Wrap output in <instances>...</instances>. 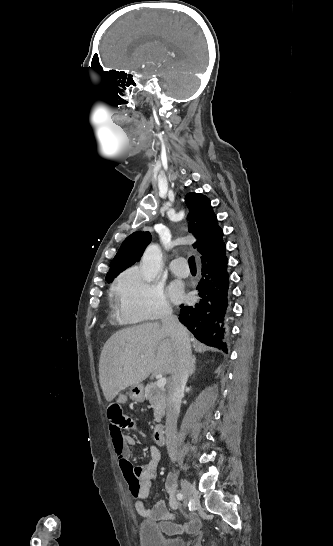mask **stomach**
Returning <instances> with one entry per match:
<instances>
[{
    "instance_id": "1",
    "label": "stomach",
    "mask_w": 333,
    "mask_h": 546,
    "mask_svg": "<svg viewBox=\"0 0 333 546\" xmlns=\"http://www.w3.org/2000/svg\"><path fill=\"white\" fill-rule=\"evenodd\" d=\"M128 396L134 402L144 401V391L142 384L134 385L129 389Z\"/></svg>"
}]
</instances>
